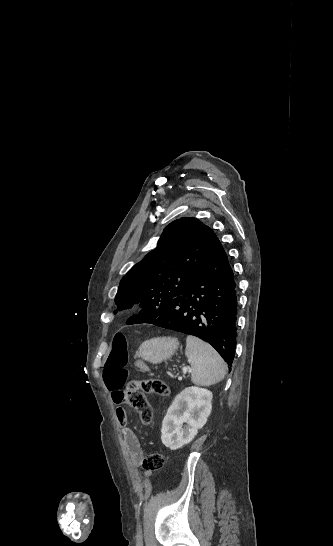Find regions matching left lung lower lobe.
<instances>
[{
	"instance_id": "1",
	"label": "left lung lower lobe",
	"mask_w": 333,
	"mask_h": 546,
	"mask_svg": "<svg viewBox=\"0 0 333 546\" xmlns=\"http://www.w3.org/2000/svg\"><path fill=\"white\" fill-rule=\"evenodd\" d=\"M237 287L226 252L217 238L190 286L153 322L139 314L127 324L151 323L197 336L211 344L232 366L236 348Z\"/></svg>"
}]
</instances>
